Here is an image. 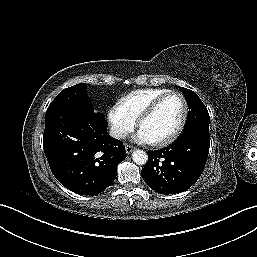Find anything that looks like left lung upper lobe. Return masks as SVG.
<instances>
[{
    "instance_id": "obj_1",
    "label": "left lung upper lobe",
    "mask_w": 257,
    "mask_h": 257,
    "mask_svg": "<svg viewBox=\"0 0 257 257\" xmlns=\"http://www.w3.org/2000/svg\"><path fill=\"white\" fill-rule=\"evenodd\" d=\"M190 109L188 119L181 136L187 135L193 132H202L209 134L210 117L208 111L200 100L199 96L184 87H180Z\"/></svg>"
}]
</instances>
